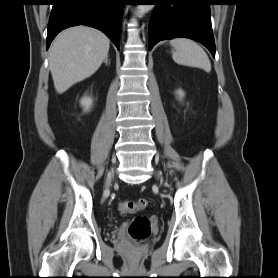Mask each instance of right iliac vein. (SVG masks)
<instances>
[{"label": "right iliac vein", "mask_w": 278, "mask_h": 278, "mask_svg": "<svg viewBox=\"0 0 278 278\" xmlns=\"http://www.w3.org/2000/svg\"><path fill=\"white\" fill-rule=\"evenodd\" d=\"M113 175H114V171L111 170L110 173L108 174L107 176V181H106V190H108L110 184H111V181H112V178H113Z\"/></svg>", "instance_id": "obj_1"}]
</instances>
